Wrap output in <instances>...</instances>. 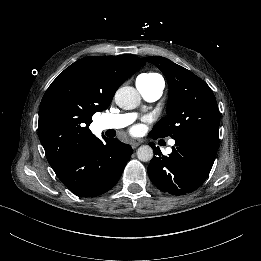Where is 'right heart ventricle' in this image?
Here are the masks:
<instances>
[{
	"label": "right heart ventricle",
	"mask_w": 261,
	"mask_h": 261,
	"mask_svg": "<svg viewBox=\"0 0 261 261\" xmlns=\"http://www.w3.org/2000/svg\"><path fill=\"white\" fill-rule=\"evenodd\" d=\"M137 79H140L144 82L145 85H154L157 83H163L164 84V80L163 77L155 72H147V73H143L141 75H139V77Z\"/></svg>",
	"instance_id": "obj_1"
}]
</instances>
